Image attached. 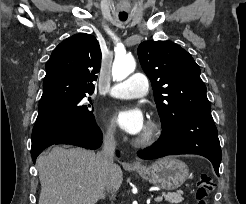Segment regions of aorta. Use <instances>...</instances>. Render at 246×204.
I'll list each match as a JSON object with an SVG mask.
<instances>
[{
	"instance_id": "762f6f07",
	"label": "aorta",
	"mask_w": 246,
	"mask_h": 204,
	"mask_svg": "<svg viewBox=\"0 0 246 204\" xmlns=\"http://www.w3.org/2000/svg\"><path fill=\"white\" fill-rule=\"evenodd\" d=\"M136 68V62L133 56L124 55L115 57L112 66V76L116 81H122L134 72Z\"/></svg>"
}]
</instances>
